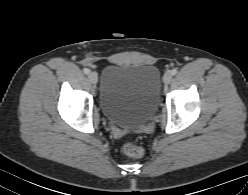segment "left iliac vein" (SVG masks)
<instances>
[{"label": "left iliac vein", "instance_id": "obj_1", "mask_svg": "<svg viewBox=\"0 0 248 195\" xmlns=\"http://www.w3.org/2000/svg\"><path fill=\"white\" fill-rule=\"evenodd\" d=\"M163 81L165 84H169L172 81V74L170 72L165 73Z\"/></svg>", "mask_w": 248, "mask_h": 195}]
</instances>
